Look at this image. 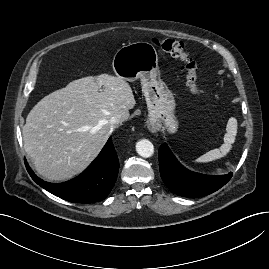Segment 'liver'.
Listing matches in <instances>:
<instances>
[{
  "mask_svg": "<svg viewBox=\"0 0 269 269\" xmlns=\"http://www.w3.org/2000/svg\"><path fill=\"white\" fill-rule=\"evenodd\" d=\"M135 104L130 85L106 73L74 80L45 96L22 130L37 173L48 181H64L82 172L111 135L110 118L127 120Z\"/></svg>",
  "mask_w": 269,
  "mask_h": 269,
  "instance_id": "obj_1",
  "label": "liver"
}]
</instances>
